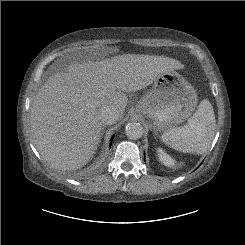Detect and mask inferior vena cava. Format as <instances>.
<instances>
[{
    "label": "inferior vena cava",
    "instance_id": "1",
    "mask_svg": "<svg viewBox=\"0 0 245 245\" xmlns=\"http://www.w3.org/2000/svg\"><path fill=\"white\" fill-rule=\"evenodd\" d=\"M99 118L104 125L114 124L119 119V113L114 106L104 105L100 108Z\"/></svg>",
    "mask_w": 245,
    "mask_h": 245
}]
</instances>
